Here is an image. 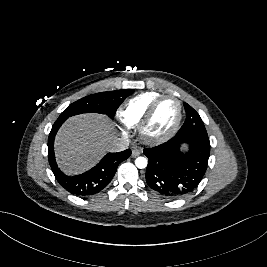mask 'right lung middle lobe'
Listing matches in <instances>:
<instances>
[{
	"label": "right lung middle lobe",
	"mask_w": 267,
	"mask_h": 267,
	"mask_svg": "<svg viewBox=\"0 0 267 267\" xmlns=\"http://www.w3.org/2000/svg\"><path fill=\"white\" fill-rule=\"evenodd\" d=\"M133 92V89H121L86 96L69 105L56 122H64L73 115L89 112L102 113L113 118L118 107Z\"/></svg>",
	"instance_id": "right-lung-middle-lobe-1"
}]
</instances>
